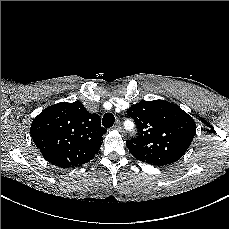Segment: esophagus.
<instances>
[{
  "label": "esophagus",
  "instance_id": "1",
  "mask_svg": "<svg viewBox=\"0 0 229 229\" xmlns=\"http://www.w3.org/2000/svg\"><path fill=\"white\" fill-rule=\"evenodd\" d=\"M113 128L120 131V132H122V130H123V127H122L120 121H117Z\"/></svg>",
  "mask_w": 229,
  "mask_h": 229
}]
</instances>
